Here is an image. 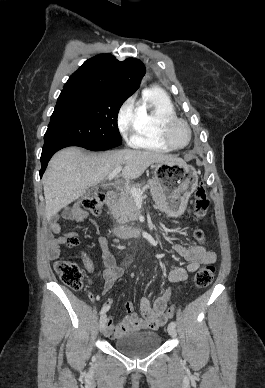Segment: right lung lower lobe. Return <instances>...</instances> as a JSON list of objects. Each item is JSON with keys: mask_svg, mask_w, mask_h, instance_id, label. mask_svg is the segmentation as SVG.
<instances>
[{"mask_svg": "<svg viewBox=\"0 0 265 388\" xmlns=\"http://www.w3.org/2000/svg\"><path fill=\"white\" fill-rule=\"evenodd\" d=\"M68 146H79V145L76 143H72V142H58V143L51 144L47 147H43L42 154H41V165L42 166H41V170L39 172L40 177L43 175V173L47 167L48 161L53 156V154L55 152H57L58 150H60L64 147H68Z\"/></svg>", "mask_w": 265, "mask_h": 388, "instance_id": "right-lung-lower-lobe-1", "label": "right lung lower lobe"}]
</instances>
